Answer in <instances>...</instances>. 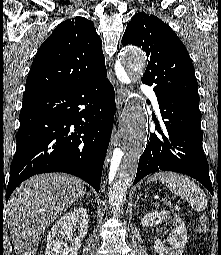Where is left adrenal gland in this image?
Wrapping results in <instances>:
<instances>
[{
	"label": "left adrenal gland",
	"mask_w": 221,
	"mask_h": 255,
	"mask_svg": "<svg viewBox=\"0 0 221 255\" xmlns=\"http://www.w3.org/2000/svg\"><path fill=\"white\" fill-rule=\"evenodd\" d=\"M139 200H141V201L144 200V199L142 198V195H141V194L137 196V201H136V202H138Z\"/></svg>",
	"instance_id": "obj_1"
}]
</instances>
